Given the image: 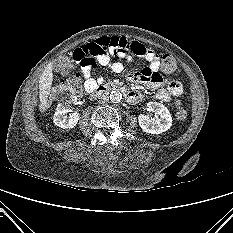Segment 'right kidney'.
I'll use <instances>...</instances> for the list:
<instances>
[{
    "label": "right kidney",
    "instance_id": "ca27d5eb",
    "mask_svg": "<svg viewBox=\"0 0 233 233\" xmlns=\"http://www.w3.org/2000/svg\"><path fill=\"white\" fill-rule=\"evenodd\" d=\"M77 103V97L71 96L69 100H67L64 103L58 104L56 111L54 113L53 121L55 125L64 128V129H70L76 126L80 115L77 112L68 114L70 111L69 106L71 104Z\"/></svg>",
    "mask_w": 233,
    "mask_h": 233
}]
</instances>
